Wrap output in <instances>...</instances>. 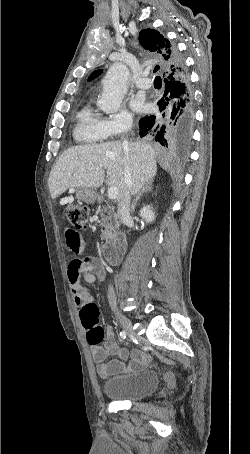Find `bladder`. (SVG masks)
I'll use <instances>...</instances> for the list:
<instances>
[{
    "label": "bladder",
    "instance_id": "1",
    "mask_svg": "<svg viewBox=\"0 0 250 454\" xmlns=\"http://www.w3.org/2000/svg\"><path fill=\"white\" fill-rule=\"evenodd\" d=\"M160 385V375L153 369L107 379L102 389L106 397L119 401H138L153 394Z\"/></svg>",
    "mask_w": 250,
    "mask_h": 454
}]
</instances>
